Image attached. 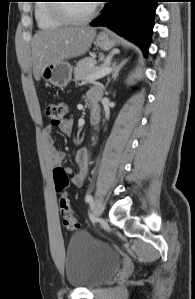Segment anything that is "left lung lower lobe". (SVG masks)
I'll return each mask as SVG.
<instances>
[{"mask_svg": "<svg viewBox=\"0 0 195 299\" xmlns=\"http://www.w3.org/2000/svg\"><path fill=\"white\" fill-rule=\"evenodd\" d=\"M103 14L91 26H106L136 43L146 56L158 0H107Z\"/></svg>", "mask_w": 195, "mask_h": 299, "instance_id": "0a47b994", "label": "left lung lower lobe"}]
</instances>
